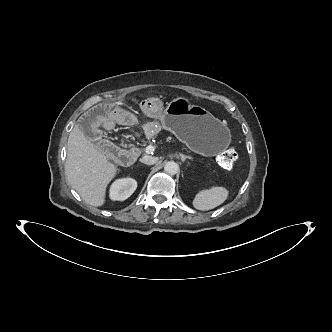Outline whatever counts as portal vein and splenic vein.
<instances>
[{
  "instance_id": "1",
  "label": "portal vein and splenic vein",
  "mask_w": 332,
  "mask_h": 332,
  "mask_svg": "<svg viewBox=\"0 0 332 332\" xmlns=\"http://www.w3.org/2000/svg\"><path fill=\"white\" fill-rule=\"evenodd\" d=\"M155 146H152V145H148L147 147H146V153H150V152H153L154 150H155Z\"/></svg>"
}]
</instances>
